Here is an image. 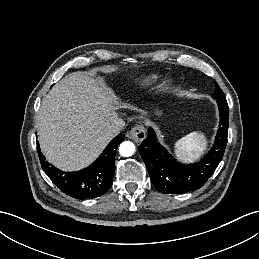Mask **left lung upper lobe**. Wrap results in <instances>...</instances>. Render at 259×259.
Instances as JSON below:
<instances>
[{
  "mask_svg": "<svg viewBox=\"0 0 259 259\" xmlns=\"http://www.w3.org/2000/svg\"><path fill=\"white\" fill-rule=\"evenodd\" d=\"M214 99H225V95L219 85L216 83V90L215 93L212 95Z\"/></svg>",
  "mask_w": 259,
  "mask_h": 259,
  "instance_id": "left-lung-upper-lobe-1",
  "label": "left lung upper lobe"
}]
</instances>
